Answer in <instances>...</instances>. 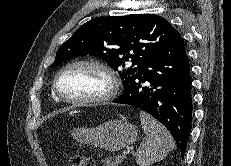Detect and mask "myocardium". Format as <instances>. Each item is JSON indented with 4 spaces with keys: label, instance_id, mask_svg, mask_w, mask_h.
I'll list each match as a JSON object with an SVG mask.
<instances>
[{
    "label": "myocardium",
    "instance_id": "myocardium-1",
    "mask_svg": "<svg viewBox=\"0 0 231 166\" xmlns=\"http://www.w3.org/2000/svg\"><path fill=\"white\" fill-rule=\"evenodd\" d=\"M76 66H91V67H95L101 70L106 75L108 82H109V86L107 90L98 96H94L90 98L70 99V98L64 97L59 90V86H58L59 78L65 71H67L68 69L72 67H76ZM119 88H120V83H119V79H118V76L115 70L107 63L101 60H98V59L74 60L66 64L65 66H63L56 73L54 80H53V91H54L55 96L60 101L68 103V104H73V105H94V104H103V103L109 102L117 96Z\"/></svg>",
    "mask_w": 231,
    "mask_h": 166
}]
</instances>
